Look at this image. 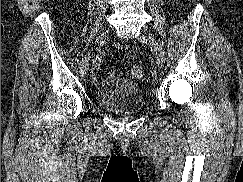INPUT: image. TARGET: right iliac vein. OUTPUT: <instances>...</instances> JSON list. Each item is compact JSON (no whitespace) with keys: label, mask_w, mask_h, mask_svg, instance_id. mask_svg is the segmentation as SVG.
I'll return each instance as SVG.
<instances>
[{"label":"right iliac vein","mask_w":243,"mask_h":182,"mask_svg":"<svg viewBox=\"0 0 243 182\" xmlns=\"http://www.w3.org/2000/svg\"><path fill=\"white\" fill-rule=\"evenodd\" d=\"M109 34V31L103 32L98 38L96 39V42L99 43L102 40H104ZM89 62H90V53H88L81 61L80 65V73L84 77L86 76L88 69H89Z\"/></svg>","instance_id":"obj_1"}]
</instances>
